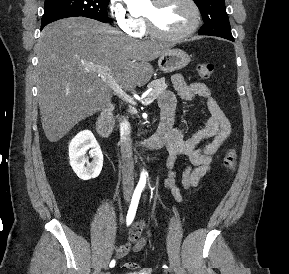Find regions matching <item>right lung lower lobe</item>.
I'll return each mask as SVG.
<instances>
[{
  "label": "right lung lower lobe",
  "mask_w": 289,
  "mask_h": 274,
  "mask_svg": "<svg viewBox=\"0 0 289 274\" xmlns=\"http://www.w3.org/2000/svg\"><path fill=\"white\" fill-rule=\"evenodd\" d=\"M46 25H47V24H45V25H41V29H43Z\"/></svg>",
  "instance_id": "right-lung-lower-lobe-1"
}]
</instances>
